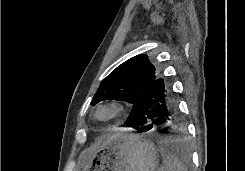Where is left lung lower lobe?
<instances>
[{"label":"left lung lower lobe","mask_w":245,"mask_h":171,"mask_svg":"<svg viewBox=\"0 0 245 171\" xmlns=\"http://www.w3.org/2000/svg\"><path fill=\"white\" fill-rule=\"evenodd\" d=\"M180 123L177 103L169 86L162 78L150 83L140 94L125 124L138 132H146L153 126L166 128Z\"/></svg>","instance_id":"left-lung-lower-lobe-1"}]
</instances>
